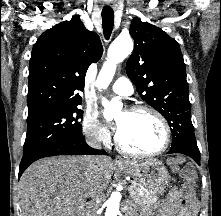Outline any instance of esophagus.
<instances>
[{"label":"esophagus","mask_w":221,"mask_h":216,"mask_svg":"<svg viewBox=\"0 0 221 216\" xmlns=\"http://www.w3.org/2000/svg\"><path fill=\"white\" fill-rule=\"evenodd\" d=\"M115 164H117V165H125L126 162L123 159H121V158H116L115 159Z\"/></svg>","instance_id":"1"}]
</instances>
